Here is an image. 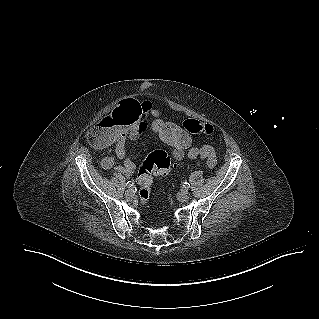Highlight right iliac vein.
<instances>
[{"label":"right iliac vein","mask_w":319,"mask_h":319,"mask_svg":"<svg viewBox=\"0 0 319 319\" xmlns=\"http://www.w3.org/2000/svg\"><path fill=\"white\" fill-rule=\"evenodd\" d=\"M135 195V191L133 189H128L126 192H125V196L126 198H133Z\"/></svg>","instance_id":"63e3f726"}]
</instances>
